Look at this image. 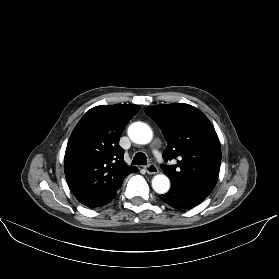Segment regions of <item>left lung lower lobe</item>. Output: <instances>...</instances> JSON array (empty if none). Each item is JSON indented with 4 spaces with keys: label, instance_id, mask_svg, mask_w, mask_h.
<instances>
[{
    "label": "left lung lower lobe",
    "instance_id": "1",
    "mask_svg": "<svg viewBox=\"0 0 279 279\" xmlns=\"http://www.w3.org/2000/svg\"><path fill=\"white\" fill-rule=\"evenodd\" d=\"M161 200L177 209H189L200 204L206 197L171 186L170 190L159 196Z\"/></svg>",
    "mask_w": 279,
    "mask_h": 279
}]
</instances>
